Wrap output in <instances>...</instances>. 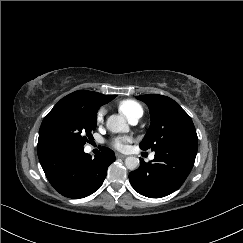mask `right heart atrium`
Masks as SVG:
<instances>
[{"label":"right heart atrium","mask_w":243,"mask_h":243,"mask_svg":"<svg viewBox=\"0 0 243 243\" xmlns=\"http://www.w3.org/2000/svg\"><path fill=\"white\" fill-rule=\"evenodd\" d=\"M104 116H105V110L104 109H99L97 111V114H96V122L97 124H101L104 120Z\"/></svg>","instance_id":"1"}]
</instances>
